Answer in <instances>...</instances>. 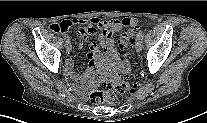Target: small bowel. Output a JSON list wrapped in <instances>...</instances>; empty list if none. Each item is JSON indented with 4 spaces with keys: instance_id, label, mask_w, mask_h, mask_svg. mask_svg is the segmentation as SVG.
<instances>
[{
    "instance_id": "obj_1",
    "label": "small bowel",
    "mask_w": 207,
    "mask_h": 123,
    "mask_svg": "<svg viewBox=\"0 0 207 123\" xmlns=\"http://www.w3.org/2000/svg\"><path fill=\"white\" fill-rule=\"evenodd\" d=\"M136 22L133 19L125 18L122 20L112 19L109 21H100L93 18L90 21L85 20H64L58 24L60 32L64 35L73 26H79L80 31V46L84 44L86 39L95 34L96 30H100L99 41L100 47L97 43L92 42L88 50V57L90 62L87 69L82 73H75L72 71L73 62L70 58L65 61V69L68 78L73 83L75 92L83 99H88L91 92L96 85L106 74L107 69H121L122 66L118 61V54L115 48L114 36L124 26H133ZM98 66L97 71L95 67Z\"/></svg>"
}]
</instances>
